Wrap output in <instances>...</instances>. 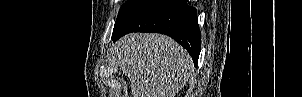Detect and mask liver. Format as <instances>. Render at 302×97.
Here are the masks:
<instances>
[{"label":"liver","mask_w":302,"mask_h":97,"mask_svg":"<svg viewBox=\"0 0 302 97\" xmlns=\"http://www.w3.org/2000/svg\"><path fill=\"white\" fill-rule=\"evenodd\" d=\"M115 52L133 97H175L194 71L187 51L161 34L125 35L115 43Z\"/></svg>","instance_id":"6515ba94"}]
</instances>
